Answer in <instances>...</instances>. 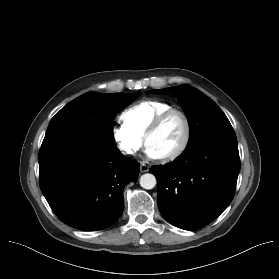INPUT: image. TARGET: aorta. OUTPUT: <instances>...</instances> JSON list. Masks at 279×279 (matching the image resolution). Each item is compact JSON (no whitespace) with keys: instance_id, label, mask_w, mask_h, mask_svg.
<instances>
[{"instance_id":"aorta-1","label":"aorta","mask_w":279,"mask_h":279,"mask_svg":"<svg viewBox=\"0 0 279 279\" xmlns=\"http://www.w3.org/2000/svg\"><path fill=\"white\" fill-rule=\"evenodd\" d=\"M140 186L144 189H153L156 186L157 180L153 174L146 173L140 177Z\"/></svg>"}]
</instances>
